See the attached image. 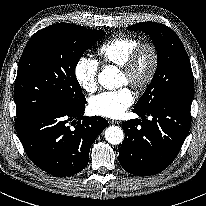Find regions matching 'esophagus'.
<instances>
[{
	"label": "esophagus",
	"mask_w": 206,
	"mask_h": 206,
	"mask_svg": "<svg viewBox=\"0 0 206 206\" xmlns=\"http://www.w3.org/2000/svg\"><path fill=\"white\" fill-rule=\"evenodd\" d=\"M109 123H111V124H119L120 123V121H118V120H109Z\"/></svg>",
	"instance_id": "esophagus-1"
}]
</instances>
